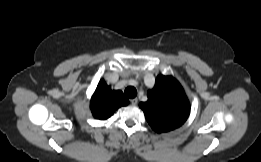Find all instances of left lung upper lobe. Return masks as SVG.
<instances>
[{"instance_id":"1","label":"left lung upper lobe","mask_w":261,"mask_h":162,"mask_svg":"<svg viewBox=\"0 0 261 162\" xmlns=\"http://www.w3.org/2000/svg\"><path fill=\"white\" fill-rule=\"evenodd\" d=\"M139 107L146 120L158 133L169 132L180 127L190 114L189 100L172 76H158L153 89L148 91V100Z\"/></svg>"}]
</instances>
